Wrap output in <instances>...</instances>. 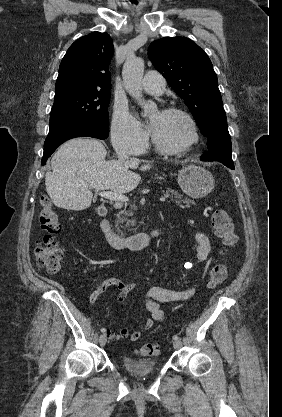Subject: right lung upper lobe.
I'll list each match as a JSON object with an SVG mask.
<instances>
[{
    "label": "right lung upper lobe",
    "mask_w": 282,
    "mask_h": 417,
    "mask_svg": "<svg viewBox=\"0 0 282 417\" xmlns=\"http://www.w3.org/2000/svg\"><path fill=\"white\" fill-rule=\"evenodd\" d=\"M113 53L107 33L93 32L76 40L61 61L55 93L73 89L110 91Z\"/></svg>",
    "instance_id": "1"
}]
</instances>
